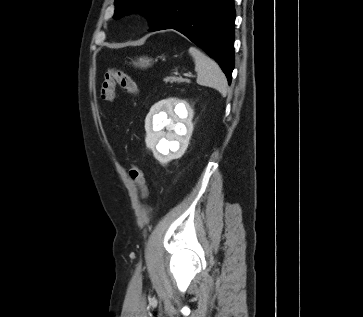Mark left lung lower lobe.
<instances>
[{
	"label": "left lung lower lobe",
	"instance_id": "1",
	"mask_svg": "<svg viewBox=\"0 0 363 317\" xmlns=\"http://www.w3.org/2000/svg\"><path fill=\"white\" fill-rule=\"evenodd\" d=\"M233 0H165L148 31L175 29L220 65L229 84L234 69Z\"/></svg>",
	"mask_w": 363,
	"mask_h": 317
}]
</instances>
